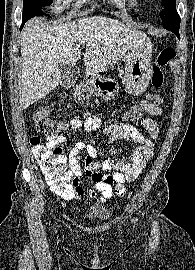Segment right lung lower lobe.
<instances>
[{"label": "right lung lower lobe", "instance_id": "obj_1", "mask_svg": "<svg viewBox=\"0 0 195 270\" xmlns=\"http://www.w3.org/2000/svg\"><path fill=\"white\" fill-rule=\"evenodd\" d=\"M34 16H37V15L34 14V13H23V17H22V21H23V22H22V25H21V27H20V30L23 28L25 22H26L27 20H29L30 18L34 17Z\"/></svg>", "mask_w": 195, "mask_h": 270}]
</instances>
